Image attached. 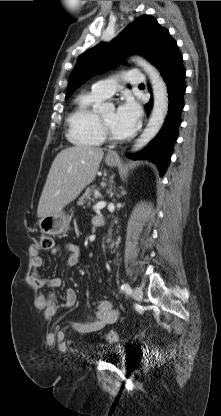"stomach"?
Segmentation results:
<instances>
[{
    "instance_id": "1",
    "label": "stomach",
    "mask_w": 221,
    "mask_h": 416,
    "mask_svg": "<svg viewBox=\"0 0 221 416\" xmlns=\"http://www.w3.org/2000/svg\"><path fill=\"white\" fill-rule=\"evenodd\" d=\"M105 162L108 166L114 167L119 163V159L110 160L106 158ZM70 221V216L61 211L41 218L39 220V227L42 233L55 236L67 232Z\"/></svg>"
}]
</instances>
